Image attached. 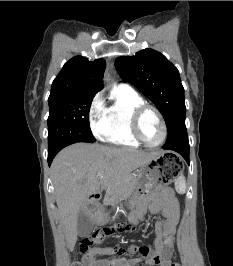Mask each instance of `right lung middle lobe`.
<instances>
[{
	"label": "right lung middle lobe",
	"mask_w": 233,
	"mask_h": 266,
	"mask_svg": "<svg viewBox=\"0 0 233 266\" xmlns=\"http://www.w3.org/2000/svg\"><path fill=\"white\" fill-rule=\"evenodd\" d=\"M95 94H76L48 99V152L76 142H94L89 109Z\"/></svg>",
	"instance_id": "right-lung-middle-lobe-1"
}]
</instances>
